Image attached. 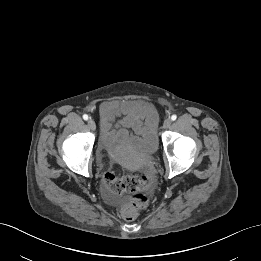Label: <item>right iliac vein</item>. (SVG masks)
Listing matches in <instances>:
<instances>
[{"label":"right iliac vein","mask_w":261,"mask_h":261,"mask_svg":"<svg viewBox=\"0 0 261 261\" xmlns=\"http://www.w3.org/2000/svg\"><path fill=\"white\" fill-rule=\"evenodd\" d=\"M88 126H89V128H90L91 130H95V129H96V123H95V121L90 118V119L88 120Z\"/></svg>","instance_id":"63e3f726"}]
</instances>
